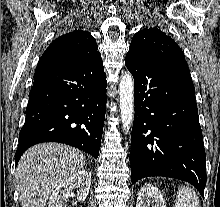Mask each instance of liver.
I'll return each mask as SVG.
<instances>
[{
	"instance_id": "obj_1",
	"label": "liver",
	"mask_w": 220,
	"mask_h": 207,
	"mask_svg": "<svg viewBox=\"0 0 220 207\" xmlns=\"http://www.w3.org/2000/svg\"><path fill=\"white\" fill-rule=\"evenodd\" d=\"M85 164L82 152L71 146L43 143L29 148L15 174L21 207H45L50 193Z\"/></svg>"
}]
</instances>
